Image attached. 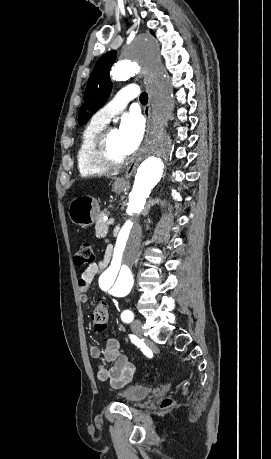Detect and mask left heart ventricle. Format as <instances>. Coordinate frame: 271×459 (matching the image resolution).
Wrapping results in <instances>:
<instances>
[{
    "mask_svg": "<svg viewBox=\"0 0 271 459\" xmlns=\"http://www.w3.org/2000/svg\"><path fill=\"white\" fill-rule=\"evenodd\" d=\"M109 146L115 154H126L119 129L114 128L109 136Z\"/></svg>",
    "mask_w": 271,
    "mask_h": 459,
    "instance_id": "left-heart-ventricle-1",
    "label": "left heart ventricle"
}]
</instances>
